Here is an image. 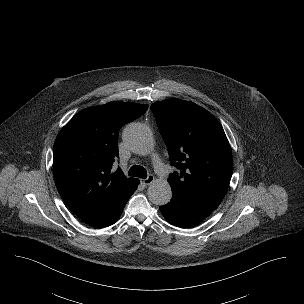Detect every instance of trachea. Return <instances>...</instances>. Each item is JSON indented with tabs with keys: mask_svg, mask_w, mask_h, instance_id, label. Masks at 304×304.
Instances as JSON below:
<instances>
[{
	"mask_svg": "<svg viewBox=\"0 0 304 304\" xmlns=\"http://www.w3.org/2000/svg\"><path fill=\"white\" fill-rule=\"evenodd\" d=\"M129 176L147 178V171L144 167L139 165H133L128 172Z\"/></svg>",
	"mask_w": 304,
	"mask_h": 304,
	"instance_id": "1",
	"label": "trachea"
}]
</instances>
